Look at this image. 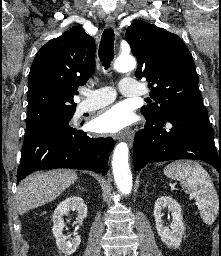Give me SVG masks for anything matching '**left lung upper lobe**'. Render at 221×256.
<instances>
[{
    "label": "left lung upper lobe",
    "instance_id": "left-lung-upper-lobe-1",
    "mask_svg": "<svg viewBox=\"0 0 221 256\" xmlns=\"http://www.w3.org/2000/svg\"><path fill=\"white\" fill-rule=\"evenodd\" d=\"M126 40L138 60L136 77L149 82L156 101L141 108L146 119L160 120L172 111L207 112L192 56L177 35L139 21L127 28Z\"/></svg>",
    "mask_w": 221,
    "mask_h": 256
}]
</instances>
